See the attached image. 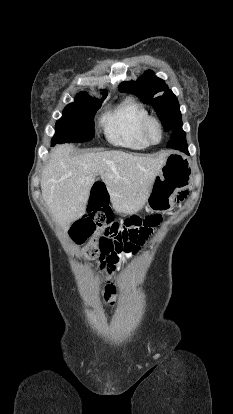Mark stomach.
<instances>
[{"instance_id":"0dacf381","label":"stomach","mask_w":233,"mask_h":414,"mask_svg":"<svg viewBox=\"0 0 233 414\" xmlns=\"http://www.w3.org/2000/svg\"><path fill=\"white\" fill-rule=\"evenodd\" d=\"M192 179L190 159L183 153L172 151L156 176L148 196V206L152 209H167L174 196L187 188Z\"/></svg>"}]
</instances>
